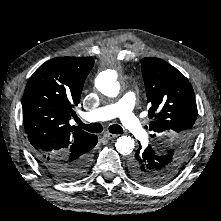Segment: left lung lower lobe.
<instances>
[{"label": "left lung lower lobe", "instance_id": "0a47b994", "mask_svg": "<svg viewBox=\"0 0 221 221\" xmlns=\"http://www.w3.org/2000/svg\"><path fill=\"white\" fill-rule=\"evenodd\" d=\"M162 159L155 148L140 146L129 161V171L132 178L143 185H162V182L155 178L161 167Z\"/></svg>", "mask_w": 221, "mask_h": 221}]
</instances>
